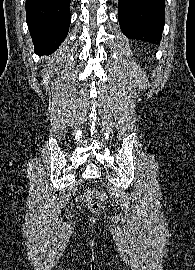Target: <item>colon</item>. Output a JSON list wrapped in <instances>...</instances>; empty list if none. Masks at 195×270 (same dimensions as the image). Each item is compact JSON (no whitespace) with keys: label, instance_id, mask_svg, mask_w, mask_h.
Here are the masks:
<instances>
[{"label":"colon","instance_id":"5ec220e1","mask_svg":"<svg viewBox=\"0 0 195 270\" xmlns=\"http://www.w3.org/2000/svg\"><path fill=\"white\" fill-rule=\"evenodd\" d=\"M91 195H94L98 198H100L102 201L107 200V195L103 192L99 191H92L90 193H82L78 196L79 201H86L88 202V207L91 212L98 213L101 210V204L97 201H91Z\"/></svg>","mask_w":195,"mask_h":270}]
</instances>
